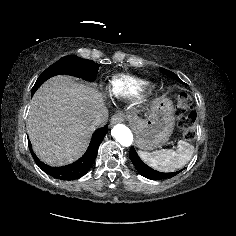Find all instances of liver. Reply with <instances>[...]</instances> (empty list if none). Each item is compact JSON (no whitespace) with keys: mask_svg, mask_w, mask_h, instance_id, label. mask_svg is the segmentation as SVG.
Returning <instances> with one entry per match:
<instances>
[{"mask_svg":"<svg viewBox=\"0 0 236 236\" xmlns=\"http://www.w3.org/2000/svg\"><path fill=\"white\" fill-rule=\"evenodd\" d=\"M103 110L95 88L63 75L49 79L30 103L27 127L34 152L51 166L77 160L94 131L93 118Z\"/></svg>","mask_w":236,"mask_h":236,"instance_id":"6515ba94","label":"liver"}]
</instances>
